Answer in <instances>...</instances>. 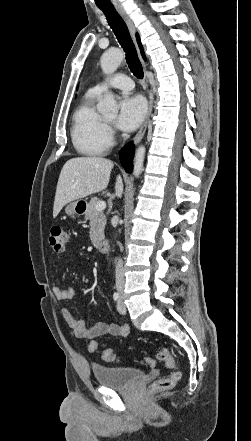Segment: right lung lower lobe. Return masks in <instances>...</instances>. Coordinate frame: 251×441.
Masks as SVG:
<instances>
[{
	"label": "right lung lower lobe",
	"instance_id": "98d812e1",
	"mask_svg": "<svg viewBox=\"0 0 251 441\" xmlns=\"http://www.w3.org/2000/svg\"><path fill=\"white\" fill-rule=\"evenodd\" d=\"M134 156V145L132 142L125 145L120 151V161L125 170L130 173L132 171V161Z\"/></svg>",
	"mask_w": 251,
	"mask_h": 441
}]
</instances>
